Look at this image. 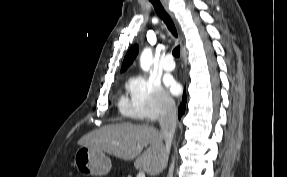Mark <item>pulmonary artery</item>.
<instances>
[{
	"label": "pulmonary artery",
	"instance_id": "obj_1",
	"mask_svg": "<svg viewBox=\"0 0 287 177\" xmlns=\"http://www.w3.org/2000/svg\"><path fill=\"white\" fill-rule=\"evenodd\" d=\"M175 68L174 58L171 53H166L163 61V69L165 71H173Z\"/></svg>",
	"mask_w": 287,
	"mask_h": 177
}]
</instances>
